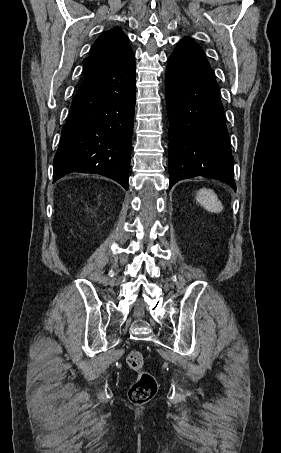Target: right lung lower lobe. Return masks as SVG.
I'll use <instances>...</instances> for the list:
<instances>
[{
	"label": "right lung lower lobe",
	"instance_id": "obj_1",
	"mask_svg": "<svg viewBox=\"0 0 281 453\" xmlns=\"http://www.w3.org/2000/svg\"><path fill=\"white\" fill-rule=\"evenodd\" d=\"M135 97L133 52L84 77L62 128L53 182L72 172L95 173L128 189Z\"/></svg>",
	"mask_w": 281,
	"mask_h": 453
}]
</instances>
